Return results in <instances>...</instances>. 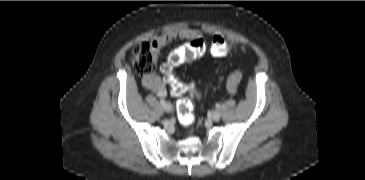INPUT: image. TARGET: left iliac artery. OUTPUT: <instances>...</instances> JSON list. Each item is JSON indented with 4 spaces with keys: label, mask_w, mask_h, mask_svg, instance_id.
<instances>
[{
    "label": "left iliac artery",
    "mask_w": 365,
    "mask_h": 180,
    "mask_svg": "<svg viewBox=\"0 0 365 180\" xmlns=\"http://www.w3.org/2000/svg\"><path fill=\"white\" fill-rule=\"evenodd\" d=\"M216 108H218V109H219V108H220V104H216Z\"/></svg>",
    "instance_id": "left-iliac-artery-1"
}]
</instances>
